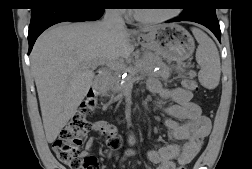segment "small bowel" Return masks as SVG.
Segmentation results:
<instances>
[{"label": "small bowel", "mask_w": 252, "mask_h": 169, "mask_svg": "<svg viewBox=\"0 0 252 169\" xmlns=\"http://www.w3.org/2000/svg\"><path fill=\"white\" fill-rule=\"evenodd\" d=\"M148 89L163 100L173 101V104L165 108L164 125L174 140H183L185 143L183 145L172 143L150 150L147 152V159L157 166L156 169H177L178 164L188 163L198 154L201 141L210 133V120L201 114L200 107L192 101L191 91L179 87L163 89L154 79L149 81ZM109 124L106 121H96L91 128L105 135V128ZM128 143L131 146L135 144V138L131 133L128 135ZM93 146L94 138L90 137L86 142L85 153H90ZM113 152L114 150H110L108 156H111ZM135 154L136 151L130 148L125 151L122 159Z\"/></svg>", "instance_id": "small-bowel-1"}]
</instances>
